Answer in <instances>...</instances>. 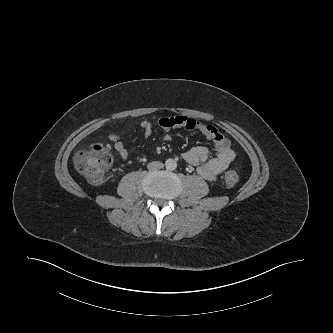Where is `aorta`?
I'll return each instance as SVG.
<instances>
[{
  "instance_id": "1",
  "label": "aorta",
  "mask_w": 333,
  "mask_h": 333,
  "mask_svg": "<svg viewBox=\"0 0 333 333\" xmlns=\"http://www.w3.org/2000/svg\"><path fill=\"white\" fill-rule=\"evenodd\" d=\"M165 166H166V169H167V170L172 171V170H175V169H176V167H177V163H176V161L173 160V159H167L166 162H165Z\"/></svg>"
}]
</instances>
